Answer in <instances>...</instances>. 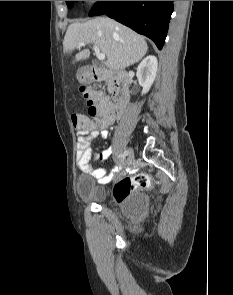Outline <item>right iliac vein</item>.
I'll return each mask as SVG.
<instances>
[{
  "mask_svg": "<svg viewBox=\"0 0 233 295\" xmlns=\"http://www.w3.org/2000/svg\"><path fill=\"white\" fill-rule=\"evenodd\" d=\"M134 160V152L132 149L128 150V156L126 160V166H130Z\"/></svg>",
  "mask_w": 233,
  "mask_h": 295,
  "instance_id": "right-iliac-vein-1",
  "label": "right iliac vein"
}]
</instances>
